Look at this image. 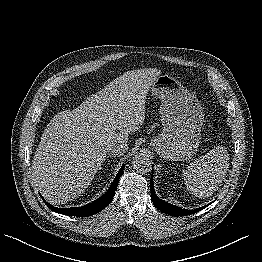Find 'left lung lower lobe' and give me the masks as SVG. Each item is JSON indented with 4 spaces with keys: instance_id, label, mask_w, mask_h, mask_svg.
<instances>
[{
    "instance_id": "left-lung-lower-lobe-1",
    "label": "left lung lower lobe",
    "mask_w": 262,
    "mask_h": 262,
    "mask_svg": "<svg viewBox=\"0 0 262 262\" xmlns=\"http://www.w3.org/2000/svg\"><path fill=\"white\" fill-rule=\"evenodd\" d=\"M150 191H151V200L154 204V206L159 209L160 211L171 215V216H186V215H191L194 214L196 212L201 211L202 209H204L205 207H207L208 205H205L203 207L194 209V210H186V209H182L180 207H177L173 204L167 203L163 200H161L160 198L157 197L155 191H154V186H153V169H152V176H151V180H150ZM211 204V203H210Z\"/></svg>"
}]
</instances>
